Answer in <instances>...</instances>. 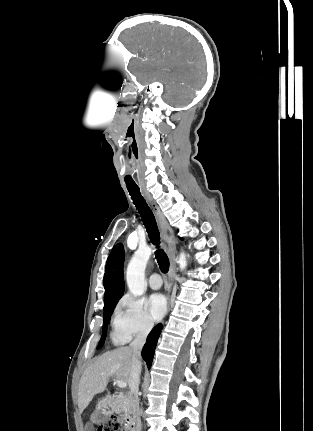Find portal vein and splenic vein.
<instances>
[{"mask_svg":"<svg viewBox=\"0 0 313 431\" xmlns=\"http://www.w3.org/2000/svg\"><path fill=\"white\" fill-rule=\"evenodd\" d=\"M116 384H117V386H118L119 388H126V386H127V383H126V382H124V381H122V380H118V381L116 382Z\"/></svg>","mask_w":313,"mask_h":431,"instance_id":"portal-vein-and-splenic-vein-1","label":"portal vein and splenic vein"}]
</instances>
